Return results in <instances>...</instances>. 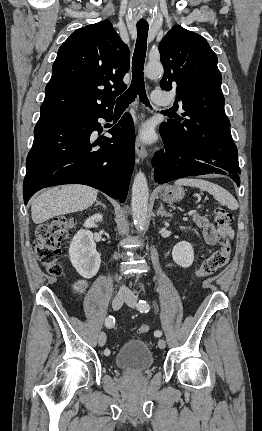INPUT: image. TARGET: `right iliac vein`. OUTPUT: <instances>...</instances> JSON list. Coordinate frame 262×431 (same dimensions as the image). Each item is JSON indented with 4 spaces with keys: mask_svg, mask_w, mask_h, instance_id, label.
<instances>
[{
    "mask_svg": "<svg viewBox=\"0 0 262 431\" xmlns=\"http://www.w3.org/2000/svg\"><path fill=\"white\" fill-rule=\"evenodd\" d=\"M126 296H127V294L124 291L120 290L119 292H117V294L114 296L113 301H112V307L114 310H117L121 307ZM106 340H107L106 334L104 332H101L98 336L99 346L103 347L106 343Z\"/></svg>",
    "mask_w": 262,
    "mask_h": 431,
    "instance_id": "right-iliac-vein-1",
    "label": "right iliac vein"
}]
</instances>
